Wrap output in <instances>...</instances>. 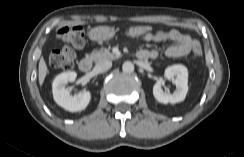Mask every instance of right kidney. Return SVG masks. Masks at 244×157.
Returning <instances> with one entry per match:
<instances>
[{"label":"right kidney","instance_id":"obj_1","mask_svg":"<svg viewBox=\"0 0 244 157\" xmlns=\"http://www.w3.org/2000/svg\"><path fill=\"white\" fill-rule=\"evenodd\" d=\"M76 77L77 73L75 71L63 72L52 83L54 101L69 112H79L86 109L91 100L89 91L72 96L65 88L66 84L75 81Z\"/></svg>","mask_w":244,"mask_h":157}]
</instances>
